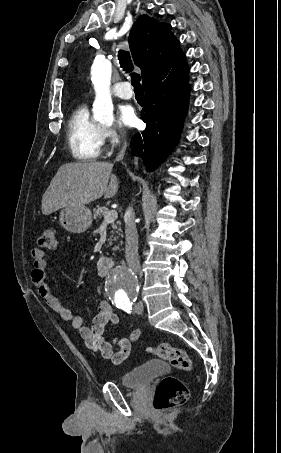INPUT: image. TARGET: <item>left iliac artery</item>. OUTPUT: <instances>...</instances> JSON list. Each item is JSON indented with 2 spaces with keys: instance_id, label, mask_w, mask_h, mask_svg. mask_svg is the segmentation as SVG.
Segmentation results:
<instances>
[{
  "instance_id": "left-iliac-artery-1",
  "label": "left iliac artery",
  "mask_w": 281,
  "mask_h": 453,
  "mask_svg": "<svg viewBox=\"0 0 281 453\" xmlns=\"http://www.w3.org/2000/svg\"><path fill=\"white\" fill-rule=\"evenodd\" d=\"M131 306H132V305L129 304V305H125V306H120V307H118V308L123 309V310L126 311L127 313H131V311H130V310L132 309Z\"/></svg>"
}]
</instances>
